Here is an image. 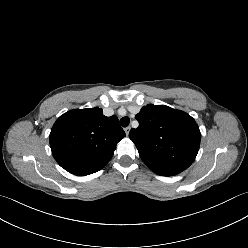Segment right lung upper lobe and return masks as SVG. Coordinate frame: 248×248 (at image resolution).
<instances>
[{
    "instance_id": "cb5924a9",
    "label": "right lung upper lobe",
    "mask_w": 248,
    "mask_h": 248,
    "mask_svg": "<svg viewBox=\"0 0 248 248\" xmlns=\"http://www.w3.org/2000/svg\"><path fill=\"white\" fill-rule=\"evenodd\" d=\"M125 137L117 116L102 109H74L61 115L49 136L57 163L71 174L85 176L101 170Z\"/></svg>"
}]
</instances>
